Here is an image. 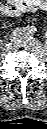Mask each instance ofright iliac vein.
I'll list each match as a JSON object with an SVG mask.
<instances>
[{"mask_svg": "<svg viewBox=\"0 0 47 129\" xmlns=\"http://www.w3.org/2000/svg\"><path fill=\"white\" fill-rule=\"evenodd\" d=\"M25 33V30L21 29V28H17L15 30H13L9 36V40L10 41H15L17 40L18 38H21L23 37Z\"/></svg>", "mask_w": 47, "mask_h": 129, "instance_id": "obj_1", "label": "right iliac vein"}]
</instances>
